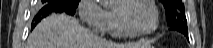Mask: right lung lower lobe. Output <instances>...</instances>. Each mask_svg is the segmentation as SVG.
<instances>
[{"instance_id": "obj_1", "label": "right lung lower lobe", "mask_w": 213, "mask_h": 48, "mask_svg": "<svg viewBox=\"0 0 213 48\" xmlns=\"http://www.w3.org/2000/svg\"><path fill=\"white\" fill-rule=\"evenodd\" d=\"M53 12H65L70 14L69 12H67L66 10H64L63 8H61L58 5L55 4H47L45 5L40 11H39V17L35 19V23L32 25L31 29H33L35 27V25L43 18H45L47 15H49L50 13ZM72 15V14H71Z\"/></svg>"}]
</instances>
